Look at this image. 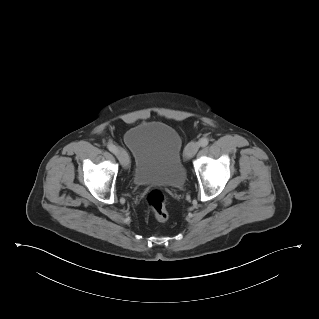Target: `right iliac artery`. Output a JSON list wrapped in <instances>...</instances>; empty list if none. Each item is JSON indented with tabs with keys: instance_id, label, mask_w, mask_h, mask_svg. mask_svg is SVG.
<instances>
[{
	"instance_id": "obj_1",
	"label": "right iliac artery",
	"mask_w": 319,
	"mask_h": 319,
	"mask_svg": "<svg viewBox=\"0 0 319 319\" xmlns=\"http://www.w3.org/2000/svg\"><path fill=\"white\" fill-rule=\"evenodd\" d=\"M107 148L109 149V151H111L112 153L116 154L117 153V147L113 144H108Z\"/></svg>"
}]
</instances>
